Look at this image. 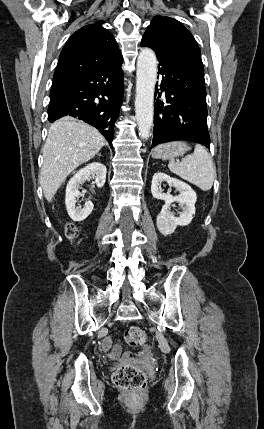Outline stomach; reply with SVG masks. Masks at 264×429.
<instances>
[{"instance_id":"0dacf381","label":"stomach","mask_w":264,"mask_h":429,"mask_svg":"<svg viewBox=\"0 0 264 429\" xmlns=\"http://www.w3.org/2000/svg\"><path fill=\"white\" fill-rule=\"evenodd\" d=\"M188 150V145L183 141H174L161 144L153 151V157L158 159H173L182 156Z\"/></svg>"}]
</instances>
